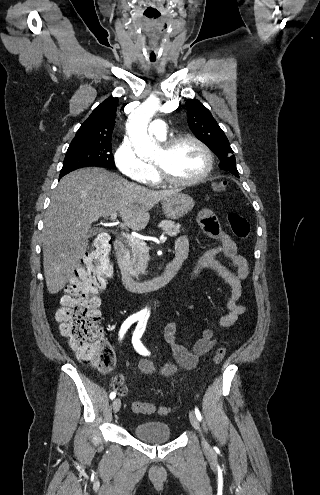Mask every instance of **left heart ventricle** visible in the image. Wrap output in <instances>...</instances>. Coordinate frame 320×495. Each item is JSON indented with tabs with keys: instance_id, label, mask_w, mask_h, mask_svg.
Segmentation results:
<instances>
[{
	"instance_id": "obj_1",
	"label": "left heart ventricle",
	"mask_w": 320,
	"mask_h": 495,
	"mask_svg": "<svg viewBox=\"0 0 320 495\" xmlns=\"http://www.w3.org/2000/svg\"><path fill=\"white\" fill-rule=\"evenodd\" d=\"M173 177L190 179L199 176L206 168V158L192 142H183L166 152L161 148L154 158Z\"/></svg>"
}]
</instances>
